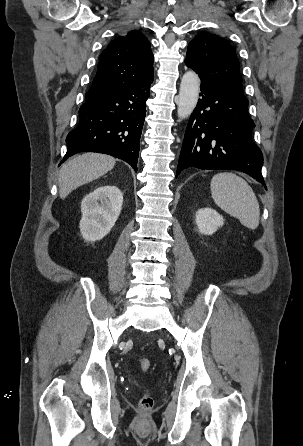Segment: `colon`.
<instances>
[{
    "label": "colon",
    "mask_w": 303,
    "mask_h": 446,
    "mask_svg": "<svg viewBox=\"0 0 303 446\" xmlns=\"http://www.w3.org/2000/svg\"><path fill=\"white\" fill-rule=\"evenodd\" d=\"M138 364H139V368L144 372L148 371L151 366L150 360L147 358H140ZM139 405L142 410L149 411L153 406V400L148 395L143 396L140 399Z\"/></svg>",
    "instance_id": "1"
}]
</instances>
